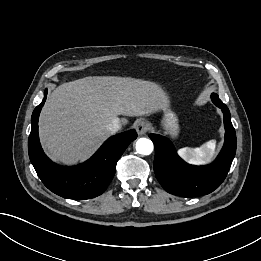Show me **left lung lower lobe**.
I'll return each mask as SVG.
<instances>
[{
	"label": "left lung lower lobe",
	"mask_w": 261,
	"mask_h": 261,
	"mask_svg": "<svg viewBox=\"0 0 261 261\" xmlns=\"http://www.w3.org/2000/svg\"><path fill=\"white\" fill-rule=\"evenodd\" d=\"M214 104L224 114L225 142L210 165L199 167L185 163L167 138L149 134L155 145V176L167 192L187 198L206 195L217 189L226 178L236 153V133L227 106L223 102Z\"/></svg>",
	"instance_id": "1"
}]
</instances>
